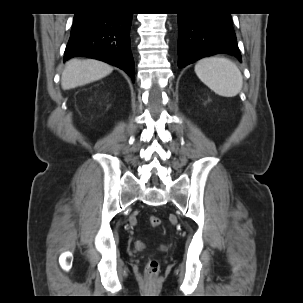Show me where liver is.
I'll list each match as a JSON object with an SVG mask.
<instances>
[{"label":"liver","mask_w":303,"mask_h":303,"mask_svg":"<svg viewBox=\"0 0 303 303\" xmlns=\"http://www.w3.org/2000/svg\"><path fill=\"white\" fill-rule=\"evenodd\" d=\"M113 68L101 61L71 59L65 65L61 76V86L69 90L97 81L112 72Z\"/></svg>","instance_id":"6515ba94"}]
</instances>
